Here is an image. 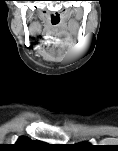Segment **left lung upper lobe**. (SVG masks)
Instances as JSON below:
<instances>
[{
    "label": "left lung upper lobe",
    "instance_id": "left-lung-upper-lobe-1",
    "mask_svg": "<svg viewBox=\"0 0 118 151\" xmlns=\"http://www.w3.org/2000/svg\"><path fill=\"white\" fill-rule=\"evenodd\" d=\"M78 145L83 146V147H86L88 144L82 143V144H78Z\"/></svg>",
    "mask_w": 118,
    "mask_h": 151
}]
</instances>
